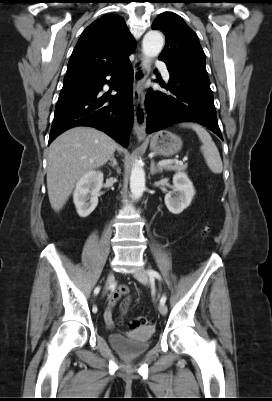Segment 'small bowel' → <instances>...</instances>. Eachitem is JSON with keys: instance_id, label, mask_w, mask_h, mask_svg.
Here are the masks:
<instances>
[{"instance_id": "small-bowel-1", "label": "small bowel", "mask_w": 272, "mask_h": 401, "mask_svg": "<svg viewBox=\"0 0 272 401\" xmlns=\"http://www.w3.org/2000/svg\"><path fill=\"white\" fill-rule=\"evenodd\" d=\"M123 287V289H121ZM118 289L114 290L111 295L109 296L108 299V305L104 311V319L105 322L108 326L113 325V308L115 305L118 303V301L124 296V299L121 302V312L126 313L128 310V307L131 302V298L129 296H126L128 292V287L127 286H121Z\"/></svg>"}]
</instances>
